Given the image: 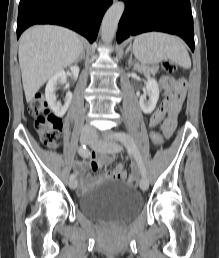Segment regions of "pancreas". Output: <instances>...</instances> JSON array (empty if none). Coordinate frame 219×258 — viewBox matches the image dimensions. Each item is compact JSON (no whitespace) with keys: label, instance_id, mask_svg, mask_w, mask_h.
<instances>
[{"label":"pancreas","instance_id":"obj_1","mask_svg":"<svg viewBox=\"0 0 219 258\" xmlns=\"http://www.w3.org/2000/svg\"><path fill=\"white\" fill-rule=\"evenodd\" d=\"M137 68L139 70L155 73L156 71H158L159 66L158 65H153V66H144V65L139 66V65H137Z\"/></svg>","mask_w":219,"mask_h":258}]
</instances>
